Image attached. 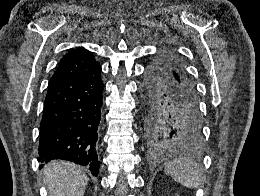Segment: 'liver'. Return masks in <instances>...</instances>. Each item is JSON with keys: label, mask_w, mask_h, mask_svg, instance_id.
Here are the masks:
<instances>
[{"label": "liver", "mask_w": 260, "mask_h": 196, "mask_svg": "<svg viewBox=\"0 0 260 196\" xmlns=\"http://www.w3.org/2000/svg\"><path fill=\"white\" fill-rule=\"evenodd\" d=\"M89 178L82 172L81 166L53 160L44 168V184L47 186L48 196H84Z\"/></svg>", "instance_id": "1"}]
</instances>
